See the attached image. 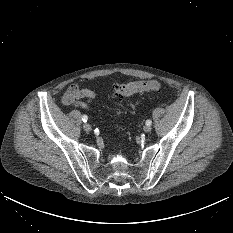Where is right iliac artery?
<instances>
[{
    "label": "right iliac artery",
    "instance_id": "1",
    "mask_svg": "<svg viewBox=\"0 0 233 233\" xmlns=\"http://www.w3.org/2000/svg\"><path fill=\"white\" fill-rule=\"evenodd\" d=\"M87 120H88L87 115H83V116H82V121H83V122H87Z\"/></svg>",
    "mask_w": 233,
    "mask_h": 233
}]
</instances>
